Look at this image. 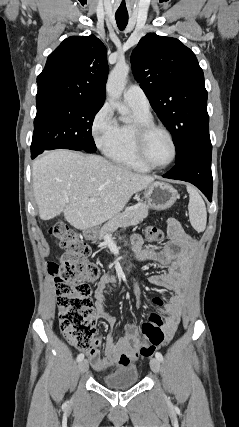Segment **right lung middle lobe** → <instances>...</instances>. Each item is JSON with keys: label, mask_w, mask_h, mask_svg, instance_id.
I'll list each match as a JSON object with an SVG mask.
<instances>
[{"label": "right lung middle lobe", "mask_w": 239, "mask_h": 427, "mask_svg": "<svg viewBox=\"0 0 239 427\" xmlns=\"http://www.w3.org/2000/svg\"><path fill=\"white\" fill-rule=\"evenodd\" d=\"M36 105L32 158L58 148L96 152L91 128L103 105L65 99L36 100Z\"/></svg>", "instance_id": "1"}]
</instances>
